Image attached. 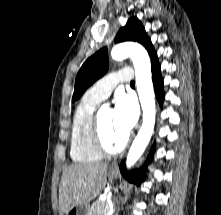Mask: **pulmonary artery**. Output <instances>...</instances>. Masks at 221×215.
Masks as SVG:
<instances>
[{
	"instance_id": "obj_1",
	"label": "pulmonary artery",
	"mask_w": 221,
	"mask_h": 215,
	"mask_svg": "<svg viewBox=\"0 0 221 215\" xmlns=\"http://www.w3.org/2000/svg\"><path fill=\"white\" fill-rule=\"evenodd\" d=\"M133 78V71L129 68H124L116 72H112L99 80L88 93L99 99L103 100L107 98L115 86L119 83H129Z\"/></svg>"
}]
</instances>
